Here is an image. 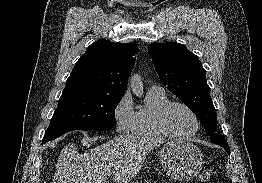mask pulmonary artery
I'll use <instances>...</instances> for the list:
<instances>
[{"mask_svg":"<svg viewBox=\"0 0 262 183\" xmlns=\"http://www.w3.org/2000/svg\"><path fill=\"white\" fill-rule=\"evenodd\" d=\"M150 89H160V90H163V88H162L161 86H157V85L152 86Z\"/></svg>","mask_w":262,"mask_h":183,"instance_id":"obj_1","label":"pulmonary artery"}]
</instances>
